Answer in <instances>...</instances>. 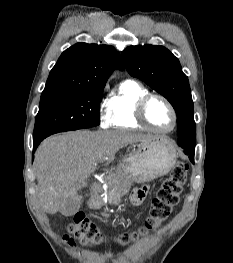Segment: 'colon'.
<instances>
[{
    "label": "colon",
    "mask_w": 233,
    "mask_h": 263,
    "mask_svg": "<svg viewBox=\"0 0 233 263\" xmlns=\"http://www.w3.org/2000/svg\"><path fill=\"white\" fill-rule=\"evenodd\" d=\"M186 178L187 165L184 162H178L157 190L150 207L149 216L144 223L135 231L120 234L117 238L118 241L122 244H128L132 239L148 233L162 223L178 203L179 194L186 183ZM68 230L75 240L85 245L99 244L105 240L104 234L86 220L82 214L74 216ZM65 238L70 240L68 235Z\"/></svg>",
    "instance_id": "colon-1"
}]
</instances>
